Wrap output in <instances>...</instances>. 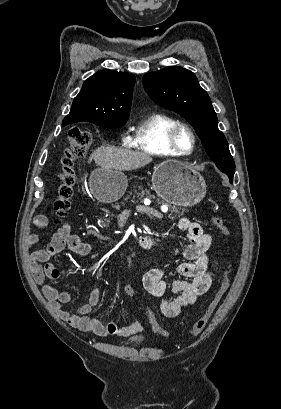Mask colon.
<instances>
[{"label":"colon","instance_id":"obj_1","mask_svg":"<svg viewBox=\"0 0 281 409\" xmlns=\"http://www.w3.org/2000/svg\"><path fill=\"white\" fill-rule=\"evenodd\" d=\"M90 140V134L86 130L80 128H74L70 130L68 134L65 153L60 159V184L58 186V196L54 201V209L59 219H63L68 215L73 186L75 183L74 162L78 157L85 153L90 144ZM213 223L222 234H229V230L221 217L215 216L213 218ZM227 283V280L222 283L216 296L208 306V309L188 330L189 334L197 335L206 328L210 318L213 316L225 294ZM153 330L161 332L164 336L169 334L168 331L160 330L156 324L153 325Z\"/></svg>","mask_w":281,"mask_h":409}]
</instances>
